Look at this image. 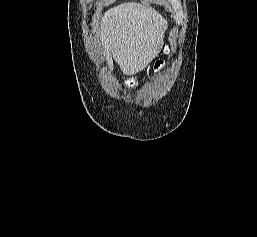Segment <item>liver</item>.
<instances>
[{"mask_svg": "<svg viewBox=\"0 0 257 237\" xmlns=\"http://www.w3.org/2000/svg\"><path fill=\"white\" fill-rule=\"evenodd\" d=\"M167 27L157 11L136 2L122 3L105 12L98 35L110 70L111 55L125 75L142 70L160 52Z\"/></svg>", "mask_w": 257, "mask_h": 237, "instance_id": "6515ba94", "label": "liver"}]
</instances>
